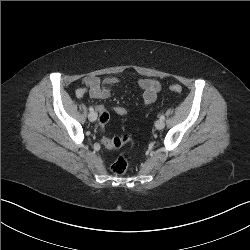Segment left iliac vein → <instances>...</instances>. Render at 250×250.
Instances as JSON below:
<instances>
[{
  "label": "left iliac vein",
  "instance_id": "1",
  "mask_svg": "<svg viewBox=\"0 0 250 250\" xmlns=\"http://www.w3.org/2000/svg\"><path fill=\"white\" fill-rule=\"evenodd\" d=\"M155 127H156V129H158V130L163 129V128L165 127L164 121H163V120H158V121H156Z\"/></svg>",
  "mask_w": 250,
  "mask_h": 250
}]
</instances>
